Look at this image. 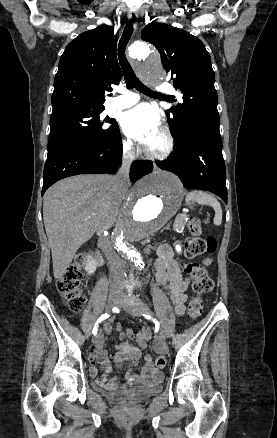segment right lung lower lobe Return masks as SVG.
<instances>
[{"label": "right lung lower lobe", "mask_w": 277, "mask_h": 438, "mask_svg": "<svg viewBox=\"0 0 277 438\" xmlns=\"http://www.w3.org/2000/svg\"><path fill=\"white\" fill-rule=\"evenodd\" d=\"M122 142L120 132L100 144L78 146L62 150L47 157L42 195L60 179L83 173H115L121 165ZM152 170L151 161H135L130 179L137 181Z\"/></svg>", "instance_id": "right-lung-lower-lobe-1"}]
</instances>
